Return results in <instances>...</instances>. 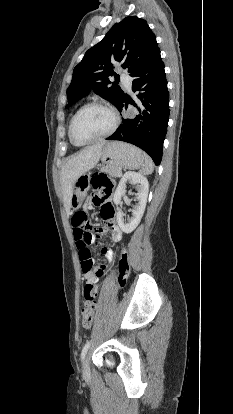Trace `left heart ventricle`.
Masks as SVG:
<instances>
[{"instance_id": "obj_1", "label": "left heart ventricle", "mask_w": 233, "mask_h": 414, "mask_svg": "<svg viewBox=\"0 0 233 414\" xmlns=\"http://www.w3.org/2000/svg\"><path fill=\"white\" fill-rule=\"evenodd\" d=\"M111 124L112 117L107 111L100 108H90L77 118L73 134L77 141H86L108 131Z\"/></svg>"}]
</instances>
